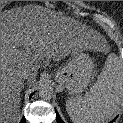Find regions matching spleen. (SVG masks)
<instances>
[{
  "label": "spleen",
  "instance_id": "obj_1",
  "mask_svg": "<svg viewBox=\"0 0 123 123\" xmlns=\"http://www.w3.org/2000/svg\"><path fill=\"white\" fill-rule=\"evenodd\" d=\"M122 101L123 68L118 57L112 54L90 91L82 97L69 98L66 110L73 123H105Z\"/></svg>",
  "mask_w": 123,
  "mask_h": 123
}]
</instances>
